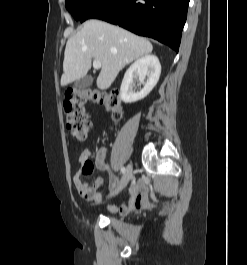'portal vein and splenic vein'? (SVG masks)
<instances>
[{"label":"portal vein and splenic vein","mask_w":247,"mask_h":265,"mask_svg":"<svg viewBox=\"0 0 247 265\" xmlns=\"http://www.w3.org/2000/svg\"><path fill=\"white\" fill-rule=\"evenodd\" d=\"M93 67L95 69H100L101 68V63L99 61H93Z\"/></svg>","instance_id":"obj_1"}]
</instances>
